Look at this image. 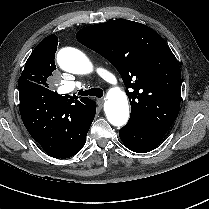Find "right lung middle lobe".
I'll use <instances>...</instances> for the list:
<instances>
[{
    "instance_id": "obj_1",
    "label": "right lung middle lobe",
    "mask_w": 209,
    "mask_h": 209,
    "mask_svg": "<svg viewBox=\"0 0 209 209\" xmlns=\"http://www.w3.org/2000/svg\"><path fill=\"white\" fill-rule=\"evenodd\" d=\"M55 52V49L47 46L34 49L18 81L20 92L32 89L41 96H54L55 92L49 89L48 82L52 72L56 69Z\"/></svg>"
}]
</instances>
